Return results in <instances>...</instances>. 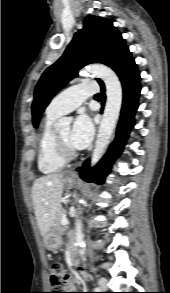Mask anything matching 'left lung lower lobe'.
Segmentation results:
<instances>
[{
  "label": "left lung lower lobe",
  "instance_id": "0a47b994",
  "mask_svg": "<svg viewBox=\"0 0 170 293\" xmlns=\"http://www.w3.org/2000/svg\"><path fill=\"white\" fill-rule=\"evenodd\" d=\"M112 69L119 76L123 87V104L116 138L111 144L106 156L93 169H89V160H87L82 167L77 169L82 179L97 184L104 183L113 161L123 150L125 141L135 123L134 115L139 105L138 98L141 90L140 73L129 49L117 58ZM100 85L103 97H105L103 82H101Z\"/></svg>",
  "mask_w": 170,
  "mask_h": 293
}]
</instances>
